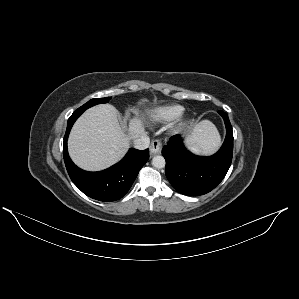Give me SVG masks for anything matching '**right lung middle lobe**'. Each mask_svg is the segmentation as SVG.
<instances>
[{"mask_svg": "<svg viewBox=\"0 0 299 299\" xmlns=\"http://www.w3.org/2000/svg\"><path fill=\"white\" fill-rule=\"evenodd\" d=\"M110 99H111V97L94 98V99H91L90 101H88L87 103H85L84 105H82L78 109L86 110L89 107H92L94 105L101 104V103H107Z\"/></svg>", "mask_w": 299, "mask_h": 299, "instance_id": "1", "label": "right lung middle lobe"}]
</instances>
